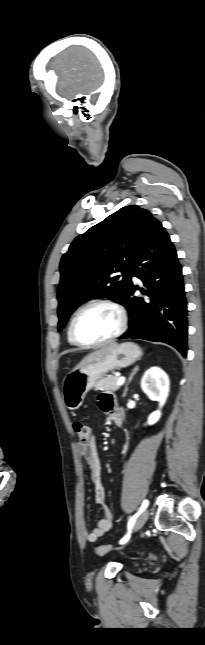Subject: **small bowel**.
Returning a JSON list of instances; mask_svg holds the SVG:
<instances>
[{"label": "small bowel", "instance_id": "small-bowel-1", "mask_svg": "<svg viewBox=\"0 0 205 645\" xmlns=\"http://www.w3.org/2000/svg\"><path fill=\"white\" fill-rule=\"evenodd\" d=\"M97 406L113 419L119 417L116 400L112 394L106 393L100 395L97 400ZM77 451L84 458L89 468L90 478L93 484L94 502L104 511V517L99 519L97 525L85 536L88 542H96L101 536L112 529L114 518L105 504L106 492L102 483V467L96 441L91 439L87 444L79 443L77 445Z\"/></svg>", "mask_w": 205, "mask_h": 645}]
</instances>
